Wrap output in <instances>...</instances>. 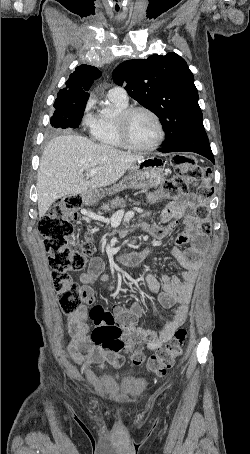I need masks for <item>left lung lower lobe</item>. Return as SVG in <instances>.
I'll use <instances>...</instances> for the list:
<instances>
[{
  "mask_svg": "<svg viewBox=\"0 0 250 454\" xmlns=\"http://www.w3.org/2000/svg\"><path fill=\"white\" fill-rule=\"evenodd\" d=\"M158 150L164 153L194 152L208 158L212 163H214V156L211 151L206 132L204 130L191 134L176 144L170 145L165 148L162 147Z\"/></svg>",
  "mask_w": 250,
  "mask_h": 454,
  "instance_id": "1",
  "label": "left lung lower lobe"
}]
</instances>
